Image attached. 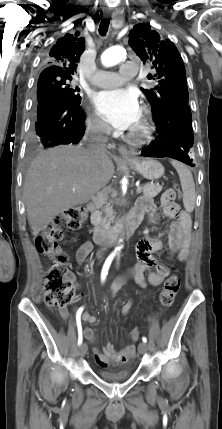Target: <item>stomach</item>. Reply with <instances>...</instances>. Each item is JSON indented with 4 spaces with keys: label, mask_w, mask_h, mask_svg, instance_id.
Listing matches in <instances>:
<instances>
[{
    "label": "stomach",
    "mask_w": 222,
    "mask_h": 429,
    "mask_svg": "<svg viewBox=\"0 0 222 429\" xmlns=\"http://www.w3.org/2000/svg\"><path fill=\"white\" fill-rule=\"evenodd\" d=\"M129 166L148 180L159 179L164 174L163 165L153 159H135L128 162Z\"/></svg>",
    "instance_id": "stomach-1"
}]
</instances>
